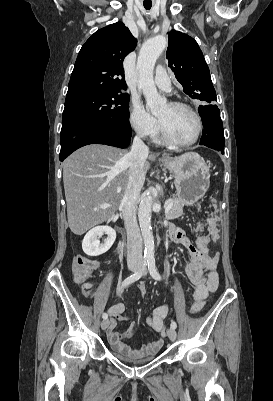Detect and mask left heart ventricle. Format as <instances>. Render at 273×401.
Returning <instances> with one entry per match:
<instances>
[{
	"mask_svg": "<svg viewBox=\"0 0 273 401\" xmlns=\"http://www.w3.org/2000/svg\"><path fill=\"white\" fill-rule=\"evenodd\" d=\"M158 117L171 135L180 141H190L197 134V122L185 109L167 104Z\"/></svg>",
	"mask_w": 273,
	"mask_h": 401,
	"instance_id": "b2bd125f",
	"label": "left heart ventricle"
}]
</instances>
